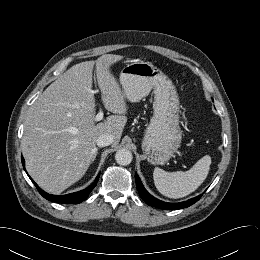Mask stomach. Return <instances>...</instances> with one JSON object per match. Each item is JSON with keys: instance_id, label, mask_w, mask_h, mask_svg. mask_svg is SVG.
<instances>
[{"instance_id": "stomach-1", "label": "stomach", "mask_w": 260, "mask_h": 260, "mask_svg": "<svg viewBox=\"0 0 260 260\" xmlns=\"http://www.w3.org/2000/svg\"><path fill=\"white\" fill-rule=\"evenodd\" d=\"M125 97L138 102L154 90V114L142 142L149 162L163 165L180 147L182 132L179 126L180 101L171 79L150 62L127 64L120 73Z\"/></svg>"}]
</instances>
